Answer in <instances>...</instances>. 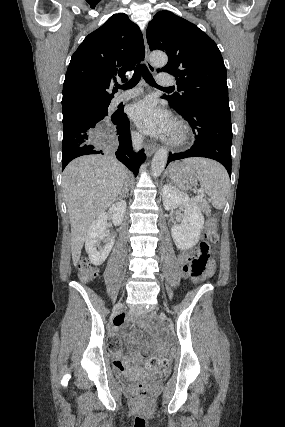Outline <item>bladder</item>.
<instances>
[{"instance_id":"31cf9c89","label":"bladder","mask_w":285,"mask_h":427,"mask_svg":"<svg viewBox=\"0 0 285 427\" xmlns=\"http://www.w3.org/2000/svg\"><path fill=\"white\" fill-rule=\"evenodd\" d=\"M124 377L128 381H132L138 377L150 378L152 380L161 381L165 379L166 375L161 371L148 373V372H144L140 368L130 367L127 371L124 372Z\"/></svg>"}]
</instances>
